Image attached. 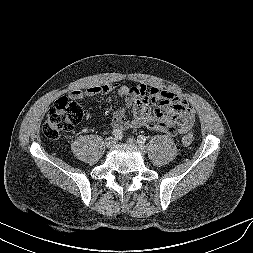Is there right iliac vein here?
Listing matches in <instances>:
<instances>
[{"mask_svg": "<svg viewBox=\"0 0 253 253\" xmlns=\"http://www.w3.org/2000/svg\"><path fill=\"white\" fill-rule=\"evenodd\" d=\"M116 144V139L114 137H108L105 141V145L108 148L114 147Z\"/></svg>", "mask_w": 253, "mask_h": 253, "instance_id": "right-iliac-vein-1", "label": "right iliac vein"}]
</instances>
